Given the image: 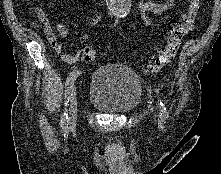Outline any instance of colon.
<instances>
[{"label": "colon", "mask_w": 221, "mask_h": 174, "mask_svg": "<svg viewBox=\"0 0 221 174\" xmlns=\"http://www.w3.org/2000/svg\"><path fill=\"white\" fill-rule=\"evenodd\" d=\"M200 7L201 0H188L186 12L179 20L173 21L169 26L166 44L149 62L148 69L151 72L160 71L175 57L182 39L194 29ZM81 52L85 62H92L96 57L95 50L90 44L85 45Z\"/></svg>", "instance_id": "1"}]
</instances>
